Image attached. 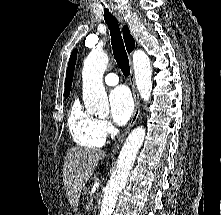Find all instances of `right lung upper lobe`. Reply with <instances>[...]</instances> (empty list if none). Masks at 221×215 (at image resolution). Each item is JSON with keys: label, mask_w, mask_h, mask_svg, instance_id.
Returning a JSON list of instances; mask_svg holds the SVG:
<instances>
[{"label": "right lung upper lobe", "mask_w": 221, "mask_h": 215, "mask_svg": "<svg viewBox=\"0 0 221 215\" xmlns=\"http://www.w3.org/2000/svg\"><path fill=\"white\" fill-rule=\"evenodd\" d=\"M123 37H124L127 51L130 53L135 47V41H134L133 37L130 35L129 29L127 26L123 27ZM76 58H77V49H75L71 53V56L69 59L68 68L66 71L65 92H64L65 97H68L70 94V88L72 85Z\"/></svg>", "instance_id": "right-lung-upper-lobe-1"}]
</instances>
